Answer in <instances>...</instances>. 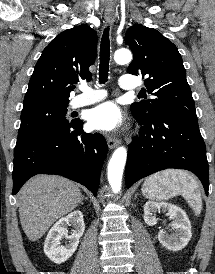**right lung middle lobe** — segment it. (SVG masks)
Listing matches in <instances>:
<instances>
[{"label": "right lung middle lobe", "mask_w": 215, "mask_h": 274, "mask_svg": "<svg viewBox=\"0 0 215 274\" xmlns=\"http://www.w3.org/2000/svg\"><path fill=\"white\" fill-rule=\"evenodd\" d=\"M68 103H43L21 112V125L14 154L36 139L56 132L74 121L66 119Z\"/></svg>", "instance_id": "right-lung-middle-lobe-1"}]
</instances>
